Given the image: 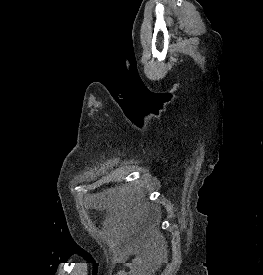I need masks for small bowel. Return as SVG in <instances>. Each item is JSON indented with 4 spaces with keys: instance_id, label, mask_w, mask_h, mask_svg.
<instances>
[{
    "instance_id": "small-bowel-1",
    "label": "small bowel",
    "mask_w": 263,
    "mask_h": 275,
    "mask_svg": "<svg viewBox=\"0 0 263 275\" xmlns=\"http://www.w3.org/2000/svg\"><path fill=\"white\" fill-rule=\"evenodd\" d=\"M111 223L112 222L109 219L105 222L108 227L113 228ZM114 232L116 233V230ZM132 255H135V257L129 261V258ZM116 260L117 263L125 265V268L120 270L116 275H144L146 260L140 254L137 245L128 244L123 251L118 253Z\"/></svg>"
}]
</instances>
